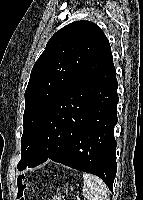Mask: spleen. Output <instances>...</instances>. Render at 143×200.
Here are the masks:
<instances>
[{
    "mask_svg": "<svg viewBox=\"0 0 143 200\" xmlns=\"http://www.w3.org/2000/svg\"><path fill=\"white\" fill-rule=\"evenodd\" d=\"M83 181V195L86 200H110L108 187L99 177L84 173Z\"/></svg>",
    "mask_w": 143,
    "mask_h": 200,
    "instance_id": "obj_1",
    "label": "spleen"
}]
</instances>
